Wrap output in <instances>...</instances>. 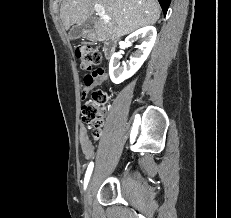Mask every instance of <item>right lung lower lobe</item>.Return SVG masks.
<instances>
[{"instance_id": "98d812e1", "label": "right lung lower lobe", "mask_w": 231, "mask_h": 218, "mask_svg": "<svg viewBox=\"0 0 231 218\" xmlns=\"http://www.w3.org/2000/svg\"><path fill=\"white\" fill-rule=\"evenodd\" d=\"M158 1L162 7L164 15H166L171 0H158Z\"/></svg>"}]
</instances>
